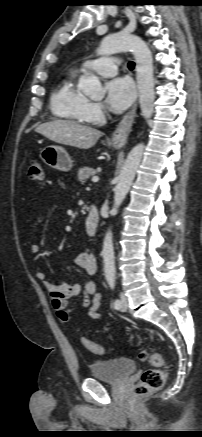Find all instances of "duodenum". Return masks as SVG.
<instances>
[{
  "instance_id": "1",
  "label": "duodenum",
  "mask_w": 202,
  "mask_h": 437,
  "mask_svg": "<svg viewBox=\"0 0 202 437\" xmlns=\"http://www.w3.org/2000/svg\"><path fill=\"white\" fill-rule=\"evenodd\" d=\"M100 221L99 210L95 204H91L86 220V231L90 236H94L97 232Z\"/></svg>"
}]
</instances>
